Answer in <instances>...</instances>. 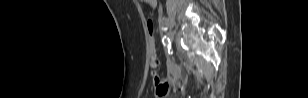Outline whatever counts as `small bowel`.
Returning a JSON list of instances; mask_svg holds the SVG:
<instances>
[{
	"mask_svg": "<svg viewBox=\"0 0 308 98\" xmlns=\"http://www.w3.org/2000/svg\"><path fill=\"white\" fill-rule=\"evenodd\" d=\"M140 3L148 8H155L157 5L156 0H140Z\"/></svg>",
	"mask_w": 308,
	"mask_h": 98,
	"instance_id": "1",
	"label": "small bowel"
}]
</instances>
